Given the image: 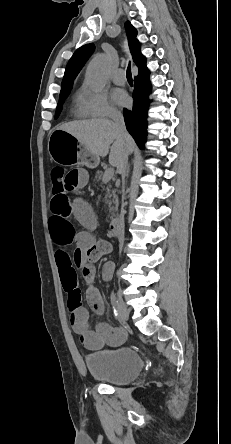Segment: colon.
I'll list each match as a JSON object with an SVG mask.
<instances>
[{
	"label": "colon",
	"instance_id": "colon-1",
	"mask_svg": "<svg viewBox=\"0 0 231 444\" xmlns=\"http://www.w3.org/2000/svg\"><path fill=\"white\" fill-rule=\"evenodd\" d=\"M66 172L62 167H54L51 171L52 197L64 198L69 192L66 183Z\"/></svg>",
	"mask_w": 231,
	"mask_h": 444
}]
</instances>
